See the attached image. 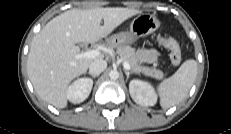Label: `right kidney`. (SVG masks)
Segmentation results:
<instances>
[{"label": "right kidney", "mask_w": 231, "mask_h": 134, "mask_svg": "<svg viewBox=\"0 0 231 134\" xmlns=\"http://www.w3.org/2000/svg\"><path fill=\"white\" fill-rule=\"evenodd\" d=\"M93 81L89 78H80L74 81L67 89V97L72 103L83 102L90 94Z\"/></svg>", "instance_id": "ca27d5eb"}]
</instances>
